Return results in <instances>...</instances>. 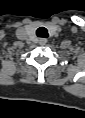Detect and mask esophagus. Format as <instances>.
<instances>
[{"mask_svg": "<svg viewBox=\"0 0 85 118\" xmlns=\"http://www.w3.org/2000/svg\"><path fill=\"white\" fill-rule=\"evenodd\" d=\"M46 43H47V39H46V38H40V39H39V44H40V45L43 46V45H46Z\"/></svg>", "mask_w": 85, "mask_h": 118, "instance_id": "1", "label": "esophagus"}]
</instances>
